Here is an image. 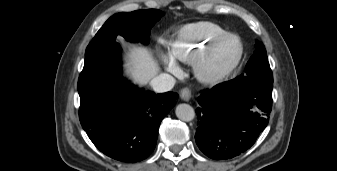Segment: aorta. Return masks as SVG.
I'll return each mask as SVG.
<instances>
[{"label": "aorta", "instance_id": "obj_1", "mask_svg": "<svg viewBox=\"0 0 337 171\" xmlns=\"http://www.w3.org/2000/svg\"><path fill=\"white\" fill-rule=\"evenodd\" d=\"M175 113L180 120L185 122L192 121L195 117V111L189 104H179Z\"/></svg>", "mask_w": 337, "mask_h": 171}]
</instances>
